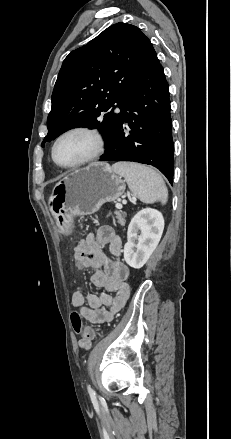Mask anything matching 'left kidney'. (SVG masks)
Wrapping results in <instances>:
<instances>
[{"mask_svg":"<svg viewBox=\"0 0 231 439\" xmlns=\"http://www.w3.org/2000/svg\"><path fill=\"white\" fill-rule=\"evenodd\" d=\"M164 229L161 212L152 208L140 210L131 220L124 246V260L140 269L156 249Z\"/></svg>","mask_w":231,"mask_h":439,"instance_id":"1","label":"left kidney"}]
</instances>
